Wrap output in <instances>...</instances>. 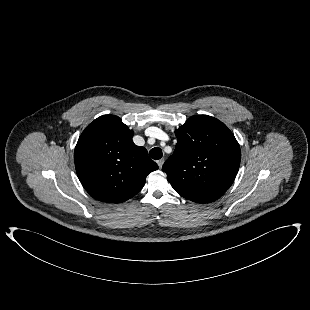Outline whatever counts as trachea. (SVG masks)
<instances>
[{
  "label": "trachea",
  "instance_id": "obj_1",
  "mask_svg": "<svg viewBox=\"0 0 310 310\" xmlns=\"http://www.w3.org/2000/svg\"><path fill=\"white\" fill-rule=\"evenodd\" d=\"M149 156L154 160L161 159L163 156L161 148L159 147L152 148L149 152Z\"/></svg>",
  "mask_w": 310,
  "mask_h": 310
}]
</instances>
